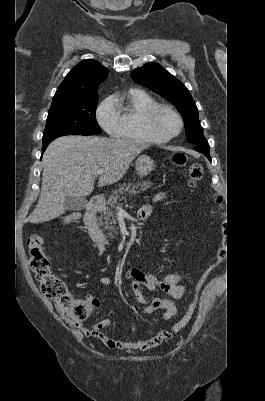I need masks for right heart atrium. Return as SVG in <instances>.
<instances>
[{
    "instance_id": "d8ad5b80",
    "label": "right heart atrium",
    "mask_w": 265,
    "mask_h": 401,
    "mask_svg": "<svg viewBox=\"0 0 265 401\" xmlns=\"http://www.w3.org/2000/svg\"><path fill=\"white\" fill-rule=\"evenodd\" d=\"M96 118L99 124L108 132L114 133L119 125L113 98L103 99L96 108Z\"/></svg>"
}]
</instances>
